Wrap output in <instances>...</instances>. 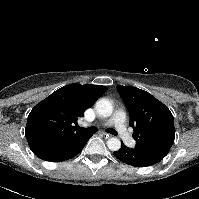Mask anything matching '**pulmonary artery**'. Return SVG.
Masks as SVG:
<instances>
[{
	"label": "pulmonary artery",
	"instance_id": "e3ab8cb5",
	"mask_svg": "<svg viewBox=\"0 0 199 199\" xmlns=\"http://www.w3.org/2000/svg\"><path fill=\"white\" fill-rule=\"evenodd\" d=\"M106 125H114L119 137L130 147H134L136 141L129 133L126 126V112L118 109L113 116L107 121Z\"/></svg>",
	"mask_w": 199,
	"mask_h": 199
}]
</instances>
